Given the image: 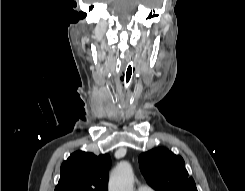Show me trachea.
<instances>
[{"label": "trachea", "instance_id": "trachea-1", "mask_svg": "<svg viewBox=\"0 0 245 191\" xmlns=\"http://www.w3.org/2000/svg\"><path fill=\"white\" fill-rule=\"evenodd\" d=\"M133 72H134V63L129 62L126 68V74L124 77V84H123L125 91H127L130 87V81H131Z\"/></svg>", "mask_w": 245, "mask_h": 191}]
</instances>
